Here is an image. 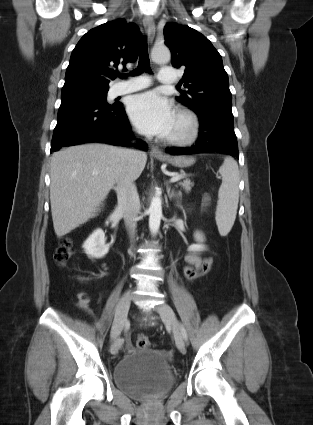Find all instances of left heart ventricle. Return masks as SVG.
<instances>
[{
	"mask_svg": "<svg viewBox=\"0 0 313 425\" xmlns=\"http://www.w3.org/2000/svg\"><path fill=\"white\" fill-rule=\"evenodd\" d=\"M185 128H186L185 123L175 116L173 126H172L168 135L183 132L185 130Z\"/></svg>",
	"mask_w": 313,
	"mask_h": 425,
	"instance_id": "left-heart-ventricle-1",
	"label": "left heart ventricle"
}]
</instances>
